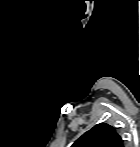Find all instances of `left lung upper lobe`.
Here are the masks:
<instances>
[{"label":"left lung upper lobe","instance_id":"obj_1","mask_svg":"<svg viewBox=\"0 0 140 147\" xmlns=\"http://www.w3.org/2000/svg\"><path fill=\"white\" fill-rule=\"evenodd\" d=\"M72 147H124L123 140L112 126L100 123L83 134Z\"/></svg>","mask_w":140,"mask_h":147}]
</instances>
